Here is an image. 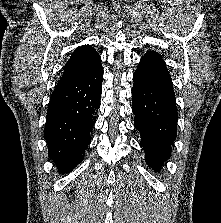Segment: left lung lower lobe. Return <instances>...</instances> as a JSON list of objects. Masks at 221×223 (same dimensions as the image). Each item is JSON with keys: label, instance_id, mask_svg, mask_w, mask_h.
Here are the masks:
<instances>
[{"label": "left lung lower lobe", "instance_id": "0a47b994", "mask_svg": "<svg viewBox=\"0 0 221 223\" xmlns=\"http://www.w3.org/2000/svg\"><path fill=\"white\" fill-rule=\"evenodd\" d=\"M132 108L146 163L158 171L171 155L178 113L172 80L162 57L148 51L133 76Z\"/></svg>", "mask_w": 221, "mask_h": 223}]
</instances>
